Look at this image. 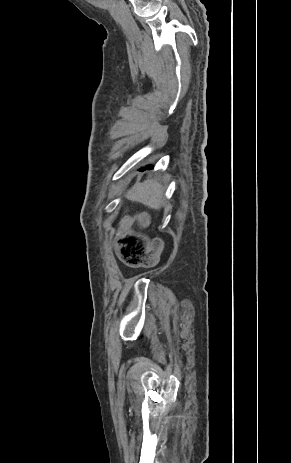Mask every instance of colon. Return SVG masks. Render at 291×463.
<instances>
[{"instance_id": "1", "label": "colon", "mask_w": 291, "mask_h": 463, "mask_svg": "<svg viewBox=\"0 0 291 463\" xmlns=\"http://www.w3.org/2000/svg\"><path fill=\"white\" fill-rule=\"evenodd\" d=\"M144 220V217H140V221ZM133 221V218L125 217L121 222L122 229L117 240L118 252L124 264L139 267L153 257V252L148 251V242L142 235L131 231Z\"/></svg>"}]
</instances>
